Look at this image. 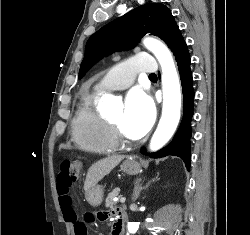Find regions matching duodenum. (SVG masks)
Returning <instances> with one entry per match:
<instances>
[{
    "mask_svg": "<svg viewBox=\"0 0 250 235\" xmlns=\"http://www.w3.org/2000/svg\"><path fill=\"white\" fill-rule=\"evenodd\" d=\"M128 217L124 211H119L112 228L113 235H123L124 225L127 222Z\"/></svg>",
    "mask_w": 250,
    "mask_h": 235,
    "instance_id": "1",
    "label": "duodenum"
}]
</instances>
